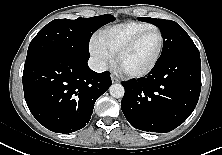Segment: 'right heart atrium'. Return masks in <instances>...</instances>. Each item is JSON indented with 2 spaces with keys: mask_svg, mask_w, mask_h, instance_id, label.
Masks as SVG:
<instances>
[{
  "mask_svg": "<svg viewBox=\"0 0 222 155\" xmlns=\"http://www.w3.org/2000/svg\"><path fill=\"white\" fill-rule=\"evenodd\" d=\"M89 50L98 69H104L112 60L113 54L102 45L97 36L90 40Z\"/></svg>",
  "mask_w": 222,
  "mask_h": 155,
  "instance_id": "d8ad5b80",
  "label": "right heart atrium"
}]
</instances>
